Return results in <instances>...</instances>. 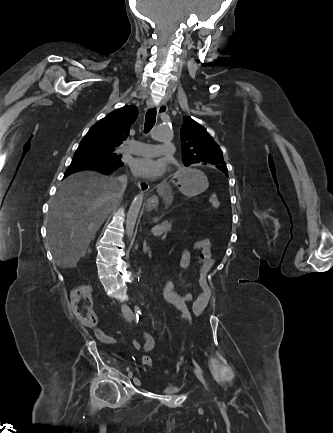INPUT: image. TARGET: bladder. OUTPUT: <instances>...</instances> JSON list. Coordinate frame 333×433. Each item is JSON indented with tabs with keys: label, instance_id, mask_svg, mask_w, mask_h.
<instances>
[{
	"label": "bladder",
	"instance_id": "bladder-1",
	"mask_svg": "<svg viewBox=\"0 0 333 433\" xmlns=\"http://www.w3.org/2000/svg\"><path fill=\"white\" fill-rule=\"evenodd\" d=\"M181 391V387L180 386H176V385H167L162 389V392L166 395H177L179 394Z\"/></svg>",
	"mask_w": 333,
	"mask_h": 433
}]
</instances>
